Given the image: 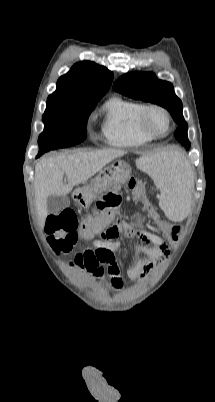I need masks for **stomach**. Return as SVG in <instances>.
Masks as SVG:
<instances>
[{"label": "stomach", "mask_w": 215, "mask_h": 402, "mask_svg": "<svg viewBox=\"0 0 215 402\" xmlns=\"http://www.w3.org/2000/svg\"><path fill=\"white\" fill-rule=\"evenodd\" d=\"M131 175V167L124 161H115L104 168L90 184L76 189L72 197L77 205L88 208L97 197L112 186L126 183Z\"/></svg>", "instance_id": "0dacf381"}]
</instances>
